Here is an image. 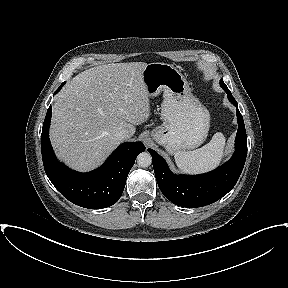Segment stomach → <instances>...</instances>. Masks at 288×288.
I'll return each mask as SVG.
<instances>
[{
  "instance_id": "1",
  "label": "stomach",
  "mask_w": 288,
  "mask_h": 288,
  "mask_svg": "<svg viewBox=\"0 0 288 288\" xmlns=\"http://www.w3.org/2000/svg\"><path fill=\"white\" fill-rule=\"evenodd\" d=\"M149 97L163 93V124L151 137L170 154L199 147L210 127V114L193 96L189 83L176 67L166 63H150L142 71Z\"/></svg>"
}]
</instances>
